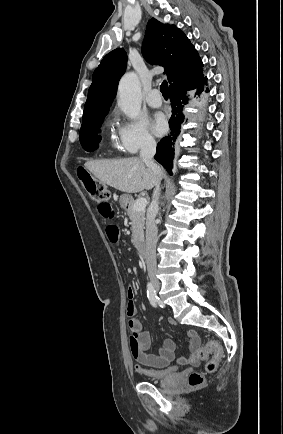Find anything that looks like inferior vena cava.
Instances as JSON below:
<instances>
[{
	"instance_id": "602c4592",
	"label": "inferior vena cava",
	"mask_w": 283,
	"mask_h": 434,
	"mask_svg": "<svg viewBox=\"0 0 283 434\" xmlns=\"http://www.w3.org/2000/svg\"><path fill=\"white\" fill-rule=\"evenodd\" d=\"M156 152V142L152 137L145 139L140 151V158L156 174L160 173V167L154 163L153 157ZM160 196V180L157 181L153 192L152 202L147 211L146 218V264L149 278L152 282L157 283L156 278V245L158 229L155 224V218L159 211L158 199Z\"/></svg>"
}]
</instances>
